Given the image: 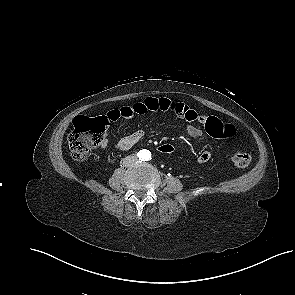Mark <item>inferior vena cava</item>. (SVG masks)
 Returning <instances> with one entry per match:
<instances>
[{
    "label": "inferior vena cava",
    "mask_w": 295,
    "mask_h": 295,
    "mask_svg": "<svg viewBox=\"0 0 295 295\" xmlns=\"http://www.w3.org/2000/svg\"><path fill=\"white\" fill-rule=\"evenodd\" d=\"M137 158L135 156H127L123 159V165L125 167H130L137 162Z\"/></svg>",
    "instance_id": "inferior-vena-cava-1"
}]
</instances>
